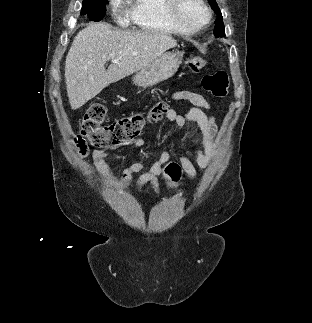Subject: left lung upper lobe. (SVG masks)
<instances>
[{"label":"left lung upper lobe","instance_id":"obj_1","mask_svg":"<svg viewBox=\"0 0 312 323\" xmlns=\"http://www.w3.org/2000/svg\"><path fill=\"white\" fill-rule=\"evenodd\" d=\"M211 8L214 10L216 14H218V18L215 21L216 26L214 29V35L217 37H225V31H224V24H223V18L221 15V11L216 3L215 0H208Z\"/></svg>","mask_w":312,"mask_h":323}]
</instances>
